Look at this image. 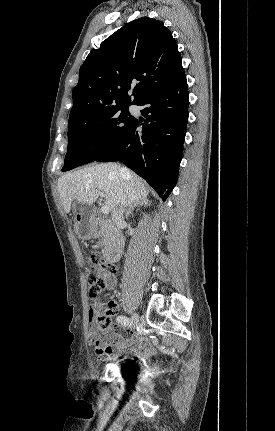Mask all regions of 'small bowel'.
<instances>
[{"mask_svg": "<svg viewBox=\"0 0 275 431\" xmlns=\"http://www.w3.org/2000/svg\"><path fill=\"white\" fill-rule=\"evenodd\" d=\"M106 287L113 290L116 285V278L109 274L105 276ZM115 304L109 313V324L106 328L100 329L96 323V315L101 310V306H93L89 309V337L95 347V355L99 359L110 356H123L133 354L138 358H143L149 353L148 342L139 335L130 333L122 334L111 322L115 312Z\"/></svg>", "mask_w": 275, "mask_h": 431, "instance_id": "small-bowel-1", "label": "small bowel"}]
</instances>
